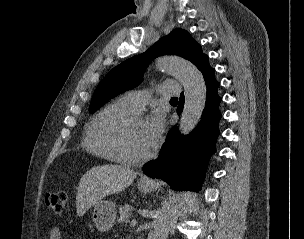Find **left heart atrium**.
Listing matches in <instances>:
<instances>
[{
	"mask_svg": "<svg viewBox=\"0 0 304 239\" xmlns=\"http://www.w3.org/2000/svg\"><path fill=\"white\" fill-rule=\"evenodd\" d=\"M165 121L160 112L154 113L144 124V135L149 149L154 148L164 131Z\"/></svg>",
	"mask_w": 304,
	"mask_h": 239,
	"instance_id": "1",
	"label": "left heart atrium"
}]
</instances>
